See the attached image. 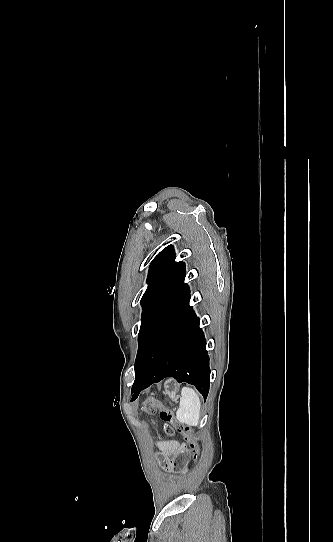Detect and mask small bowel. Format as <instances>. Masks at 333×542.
I'll list each match as a JSON object with an SVG mask.
<instances>
[{
	"mask_svg": "<svg viewBox=\"0 0 333 542\" xmlns=\"http://www.w3.org/2000/svg\"><path fill=\"white\" fill-rule=\"evenodd\" d=\"M155 445L161 451L163 458L165 459H172L187 451L186 445L177 440L156 441ZM155 458L158 460L160 457L157 455Z\"/></svg>",
	"mask_w": 333,
	"mask_h": 542,
	"instance_id": "small-bowel-1",
	"label": "small bowel"
}]
</instances>
